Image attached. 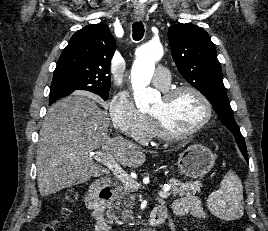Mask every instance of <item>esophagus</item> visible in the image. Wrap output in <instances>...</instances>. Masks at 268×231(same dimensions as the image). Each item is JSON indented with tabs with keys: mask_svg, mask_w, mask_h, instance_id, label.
<instances>
[{
	"mask_svg": "<svg viewBox=\"0 0 268 231\" xmlns=\"http://www.w3.org/2000/svg\"><path fill=\"white\" fill-rule=\"evenodd\" d=\"M142 19H143V16H142V15H137V16H136V20L139 21V20H142Z\"/></svg>",
	"mask_w": 268,
	"mask_h": 231,
	"instance_id": "1",
	"label": "esophagus"
}]
</instances>
